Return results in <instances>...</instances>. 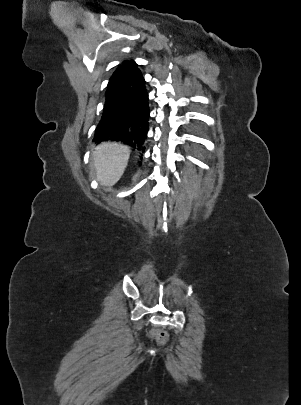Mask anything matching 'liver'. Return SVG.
<instances>
[{
    "label": "liver",
    "instance_id": "1",
    "mask_svg": "<svg viewBox=\"0 0 301 405\" xmlns=\"http://www.w3.org/2000/svg\"><path fill=\"white\" fill-rule=\"evenodd\" d=\"M97 180L102 186L111 187L123 175L130 157L129 147L113 142L99 144L92 153Z\"/></svg>",
    "mask_w": 301,
    "mask_h": 405
}]
</instances>
